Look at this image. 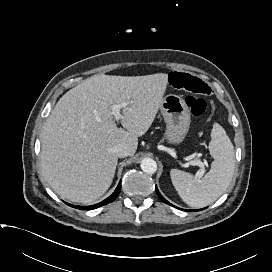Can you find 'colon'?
<instances>
[{
	"label": "colon",
	"instance_id": "1",
	"mask_svg": "<svg viewBox=\"0 0 272 272\" xmlns=\"http://www.w3.org/2000/svg\"><path fill=\"white\" fill-rule=\"evenodd\" d=\"M185 102L195 117L203 116L208 110V103L203 97L188 95L185 97Z\"/></svg>",
	"mask_w": 272,
	"mask_h": 272
}]
</instances>
